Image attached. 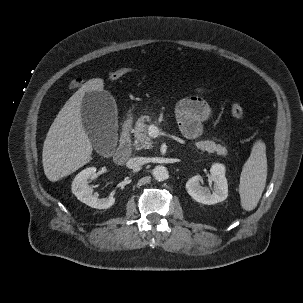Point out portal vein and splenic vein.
Wrapping results in <instances>:
<instances>
[{
    "label": "portal vein and splenic vein",
    "mask_w": 303,
    "mask_h": 303,
    "mask_svg": "<svg viewBox=\"0 0 303 303\" xmlns=\"http://www.w3.org/2000/svg\"><path fill=\"white\" fill-rule=\"evenodd\" d=\"M149 133H150V136L156 137L159 133V130L156 126L151 125V126H149Z\"/></svg>",
    "instance_id": "18ae733b"
}]
</instances>
